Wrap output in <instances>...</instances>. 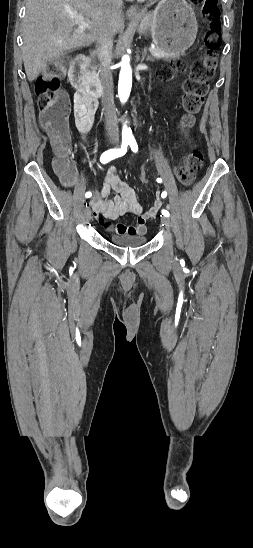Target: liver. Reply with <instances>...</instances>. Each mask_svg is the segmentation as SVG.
<instances>
[{
	"label": "liver",
	"instance_id": "6515ba94",
	"mask_svg": "<svg viewBox=\"0 0 253 548\" xmlns=\"http://www.w3.org/2000/svg\"><path fill=\"white\" fill-rule=\"evenodd\" d=\"M121 7L112 0H27L22 56L28 80H35L48 61L98 41L105 27L116 35L124 22ZM74 16L84 17L90 27L82 31Z\"/></svg>",
	"mask_w": 253,
	"mask_h": 548
}]
</instances>
